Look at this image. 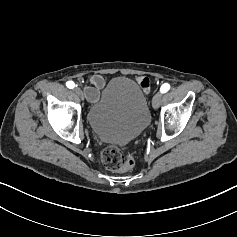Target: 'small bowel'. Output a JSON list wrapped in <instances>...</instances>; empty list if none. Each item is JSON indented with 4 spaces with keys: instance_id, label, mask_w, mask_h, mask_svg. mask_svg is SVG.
<instances>
[{
    "instance_id": "1",
    "label": "small bowel",
    "mask_w": 237,
    "mask_h": 237,
    "mask_svg": "<svg viewBox=\"0 0 237 237\" xmlns=\"http://www.w3.org/2000/svg\"><path fill=\"white\" fill-rule=\"evenodd\" d=\"M137 82L143 88L144 91L148 92L150 89V82L147 77L140 76L137 78ZM106 81L100 74L92 75L89 78L88 84L85 86L84 92L86 98L90 102H95L99 98L100 90L105 86Z\"/></svg>"
}]
</instances>
